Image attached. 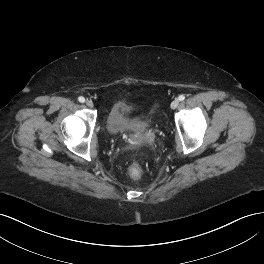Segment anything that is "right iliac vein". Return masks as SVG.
I'll use <instances>...</instances> for the list:
<instances>
[{"label":"right iliac vein","mask_w":264,"mask_h":264,"mask_svg":"<svg viewBox=\"0 0 264 264\" xmlns=\"http://www.w3.org/2000/svg\"><path fill=\"white\" fill-rule=\"evenodd\" d=\"M86 105L90 108H92L94 106L93 102L91 100H87L86 101Z\"/></svg>","instance_id":"right-iliac-vein-1"}]
</instances>
